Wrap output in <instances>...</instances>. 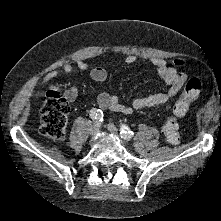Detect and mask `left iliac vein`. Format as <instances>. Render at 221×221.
Here are the masks:
<instances>
[{
  "instance_id": "obj_1",
  "label": "left iliac vein",
  "mask_w": 221,
  "mask_h": 221,
  "mask_svg": "<svg viewBox=\"0 0 221 221\" xmlns=\"http://www.w3.org/2000/svg\"><path fill=\"white\" fill-rule=\"evenodd\" d=\"M107 128H108V130H109L111 133H113V134H115V135L121 137V135L118 134V129H117V127H116L115 125L109 123V124L107 125ZM121 138H122V137H121Z\"/></svg>"
}]
</instances>
